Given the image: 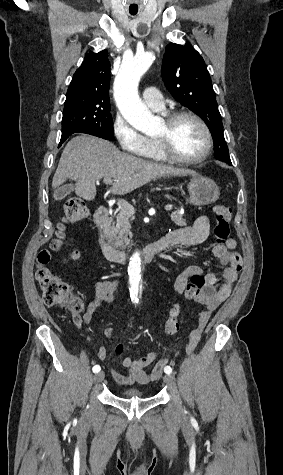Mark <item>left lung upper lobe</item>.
<instances>
[{
    "mask_svg": "<svg viewBox=\"0 0 283 475\" xmlns=\"http://www.w3.org/2000/svg\"><path fill=\"white\" fill-rule=\"evenodd\" d=\"M162 78L171 95L201 117L212 135L223 134V124L206 64L188 43L166 46Z\"/></svg>",
    "mask_w": 283,
    "mask_h": 475,
    "instance_id": "obj_1",
    "label": "left lung upper lobe"
}]
</instances>
